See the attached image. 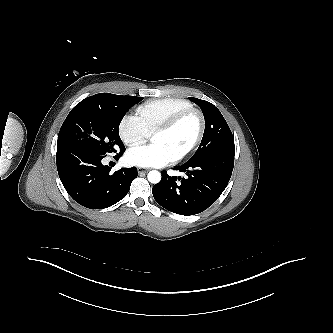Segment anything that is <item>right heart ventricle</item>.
Instances as JSON below:
<instances>
[{"label": "right heart ventricle", "instance_id": "e07e8e85", "mask_svg": "<svg viewBox=\"0 0 333 333\" xmlns=\"http://www.w3.org/2000/svg\"><path fill=\"white\" fill-rule=\"evenodd\" d=\"M193 108L191 102L181 98L151 99L137 108V113L149 133L176 114Z\"/></svg>", "mask_w": 333, "mask_h": 333}]
</instances>
